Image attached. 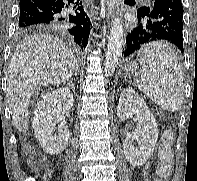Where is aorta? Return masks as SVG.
Masks as SVG:
<instances>
[{
  "instance_id": "obj_1",
  "label": "aorta",
  "mask_w": 197,
  "mask_h": 181,
  "mask_svg": "<svg viewBox=\"0 0 197 181\" xmlns=\"http://www.w3.org/2000/svg\"><path fill=\"white\" fill-rule=\"evenodd\" d=\"M123 25L120 17H116L110 29L107 51L105 56L104 71L105 75L111 76L116 69L118 61L123 51Z\"/></svg>"
}]
</instances>
